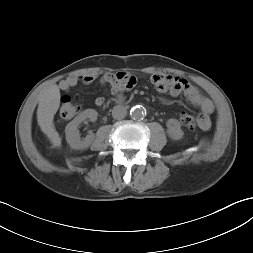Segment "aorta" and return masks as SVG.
<instances>
[{"instance_id":"1","label":"aorta","mask_w":253,"mask_h":253,"mask_svg":"<svg viewBox=\"0 0 253 253\" xmlns=\"http://www.w3.org/2000/svg\"><path fill=\"white\" fill-rule=\"evenodd\" d=\"M130 115L133 119L140 120V119H143L145 117L146 110H145L144 107H142L140 105H136V106L131 108Z\"/></svg>"}]
</instances>
